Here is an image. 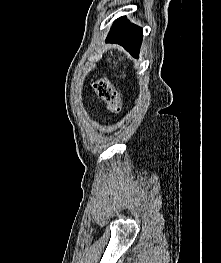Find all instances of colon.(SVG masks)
I'll return each instance as SVG.
<instances>
[{"instance_id":"5ec220e1","label":"colon","mask_w":221,"mask_h":263,"mask_svg":"<svg viewBox=\"0 0 221 263\" xmlns=\"http://www.w3.org/2000/svg\"><path fill=\"white\" fill-rule=\"evenodd\" d=\"M93 88L98 97L106 104L110 114L116 115L120 111V99L110 81L105 77H99L94 81Z\"/></svg>"}]
</instances>
